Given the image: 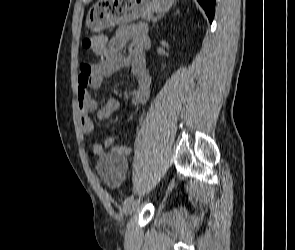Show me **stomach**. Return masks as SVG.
Listing matches in <instances>:
<instances>
[{
	"mask_svg": "<svg viewBox=\"0 0 295 250\" xmlns=\"http://www.w3.org/2000/svg\"><path fill=\"white\" fill-rule=\"evenodd\" d=\"M175 0H99L88 11L86 26L92 32L127 23L152 13L167 12Z\"/></svg>",
	"mask_w": 295,
	"mask_h": 250,
	"instance_id": "1",
	"label": "stomach"
}]
</instances>
